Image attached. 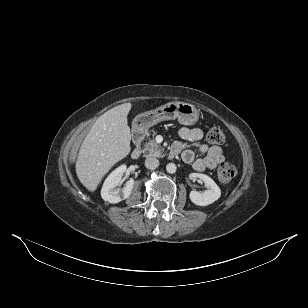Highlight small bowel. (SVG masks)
<instances>
[{"mask_svg": "<svg viewBox=\"0 0 308 308\" xmlns=\"http://www.w3.org/2000/svg\"><path fill=\"white\" fill-rule=\"evenodd\" d=\"M179 135L183 141L174 143L178 150L177 154H181L182 160L192 165L196 171L202 172L207 169H214L224 161L221 147L209 146L201 142L204 136L201 129L182 127L179 130ZM198 153L202 154L203 157L197 158Z\"/></svg>", "mask_w": 308, "mask_h": 308, "instance_id": "1", "label": "small bowel"}]
</instances>
